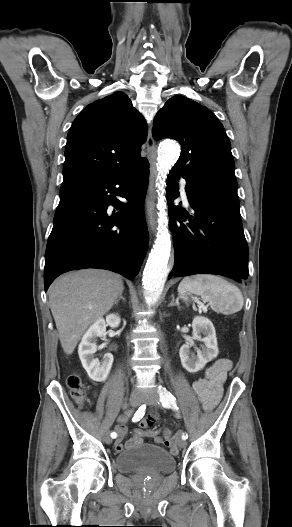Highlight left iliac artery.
Returning <instances> with one entry per match:
<instances>
[{
    "label": "left iliac artery",
    "instance_id": "left-iliac-artery-1",
    "mask_svg": "<svg viewBox=\"0 0 292 527\" xmlns=\"http://www.w3.org/2000/svg\"><path fill=\"white\" fill-rule=\"evenodd\" d=\"M159 392V399L163 407L165 408H172L174 410H178V406L176 404V398L173 396L171 392H169L165 387L159 386L158 387ZM188 438L187 433L182 434V439L186 440Z\"/></svg>",
    "mask_w": 292,
    "mask_h": 527
}]
</instances>
